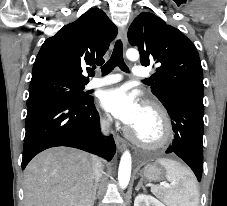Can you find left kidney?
Segmentation results:
<instances>
[{"label": "left kidney", "mask_w": 227, "mask_h": 206, "mask_svg": "<svg viewBox=\"0 0 227 206\" xmlns=\"http://www.w3.org/2000/svg\"><path fill=\"white\" fill-rule=\"evenodd\" d=\"M134 206H165L151 195L139 194L135 197Z\"/></svg>", "instance_id": "obj_1"}]
</instances>
